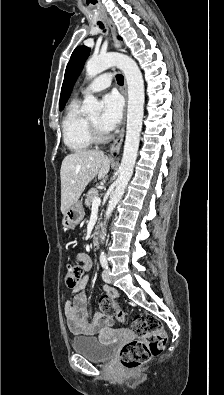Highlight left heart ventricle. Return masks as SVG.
<instances>
[{"instance_id": "b2bd125f", "label": "left heart ventricle", "mask_w": 224, "mask_h": 395, "mask_svg": "<svg viewBox=\"0 0 224 395\" xmlns=\"http://www.w3.org/2000/svg\"><path fill=\"white\" fill-rule=\"evenodd\" d=\"M90 119L100 127V125H99L100 116L99 115L90 117Z\"/></svg>"}]
</instances>
